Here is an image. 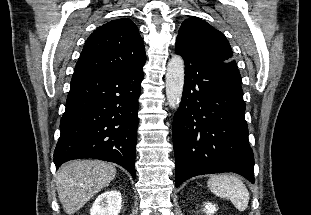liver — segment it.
<instances>
[{"label": "liver", "mask_w": 311, "mask_h": 215, "mask_svg": "<svg viewBox=\"0 0 311 215\" xmlns=\"http://www.w3.org/2000/svg\"><path fill=\"white\" fill-rule=\"evenodd\" d=\"M113 164L100 160H74L61 166L56 175L59 200L68 214H74L115 177Z\"/></svg>", "instance_id": "liver-1"}]
</instances>
